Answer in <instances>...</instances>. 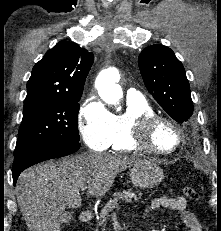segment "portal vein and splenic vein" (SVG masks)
<instances>
[{
	"label": "portal vein and splenic vein",
	"mask_w": 221,
	"mask_h": 231,
	"mask_svg": "<svg viewBox=\"0 0 221 231\" xmlns=\"http://www.w3.org/2000/svg\"><path fill=\"white\" fill-rule=\"evenodd\" d=\"M86 186H83V187H81V191H84V190H86Z\"/></svg>",
	"instance_id": "1"
}]
</instances>
